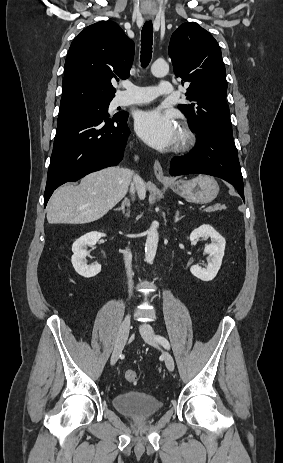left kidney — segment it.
<instances>
[{"label":"left kidney","mask_w":283,"mask_h":463,"mask_svg":"<svg viewBox=\"0 0 283 463\" xmlns=\"http://www.w3.org/2000/svg\"><path fill=\"white\" fill-rule=\"evenodd\" d=\"M211 238L212 243L205 246L204 253L209 255L208 265L202 268L198 265H193L190 268L192 275L202 281L213 280L222 264L226 241L225 239L210 225L203 224L199 228L194 229L190 234V241L199 238Z\"/></svg>","instance_id":"left-kidney-1"}]
</instances>
